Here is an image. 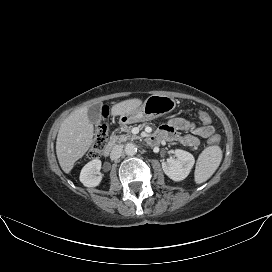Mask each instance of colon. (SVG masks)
I'll use <instances>...</instances> for the list:
<instances>
[{
    "mask_svg": "<svg viewBox=\"0 0 272 272\" xmlns=\"http://www.w3.org/2000/svg\"><path fill=\"white\" fill-rule=\"evenodd\" d=\"M197 118L204 125L209 124L211 121L210 116L206 112H203V111L197 114ZM107 140H108L107 127L104 123H100L95 130L94 140L88 152V157L89 158L99 157L107 143ZM219 141H220V137L218 135H214L209 139L210 144H216Z\"/></svg>",
    "mask_w": 272,
    "mask_h": 272,
    "instance_id": "colon-1",
    "label": "colon"
}]
</instances>
